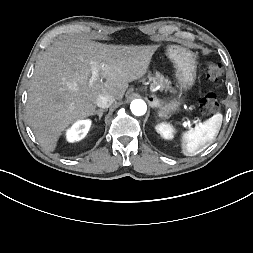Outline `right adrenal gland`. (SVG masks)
Listing matches in <instances>:
<instances>
[{"label":"right adrenal gland","instance_id":"obj_1","mask_svg":"<svg viewBox=\"0 0 253 253\" xmlns=\"http://www.w3.org/2000/svg\"><path fill=\"white\" fill-rule=\"evenodd\" d=\"M107 111V109H99L97 111L94 112L93 115H98L99 120H101V117L103 116V112Z\"/></svg>","mask_w":253,"mask_h":253}]
</instances>
